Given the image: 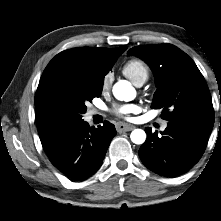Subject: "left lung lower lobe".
I'll return each mask as SVG.
<instances>
[{
  "label": "left lung lower lobe",
  "mask_w": 221,
  "mask_h": 221,
  "mask_svg": "<svg viewBox=\"0 0 221 221\" xmlns=\"http://www.w3.org/2000/svg\"><path fill=\"white\" fill-rule=\"evenodd\" d=\"M147 139L139 157L151 171L161 176H177L188 171L201 158L208 136L181 124H168L162 136L146 128Z\"/></svg>",
  "instance_id": "left-lung-lower-lobe-1"
}]
</instances>
